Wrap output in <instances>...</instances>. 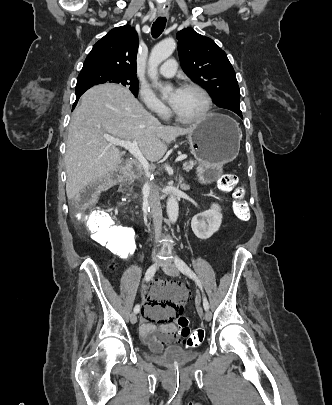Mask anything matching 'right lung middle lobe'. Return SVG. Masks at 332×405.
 <instances>
[{"instance_id":"1","label":"right lung middle lobe","mask_w":332,"mask_h":405,"mask_svg":"<svg viewBox=\"0 0 332 405\" xmlns=\"http://www.w3.org/2000/svg\"><path fill=\"white\" fill-rule=\"evenodd\" d=\"M102 83L120 84L130 89L136 97L138 95V79L136 76L108 70H95L80 73L77 78L76 93L85 92L90 87Z\"/></svg>"}]
</instances>
